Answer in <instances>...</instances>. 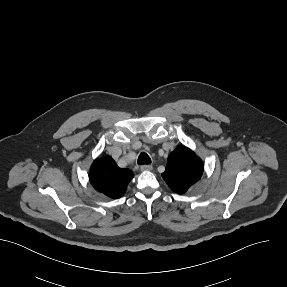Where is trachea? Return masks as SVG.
<instances>
[{"label": "trachea", "mask_w": 287, "mask_h": 287, "mask_svg": "<svg viewBox=\"0 0 287 287\" xmlns=\"http://www.w3.org/2000/svg\"><path fill=\"white\" fill-rule=\"evenodd\" d=\"M138 164L139 165H148L151 164V158L145 152H142L138 157Z\"/></svg>", "instance_id": "trachea-1"}]
</instances>
